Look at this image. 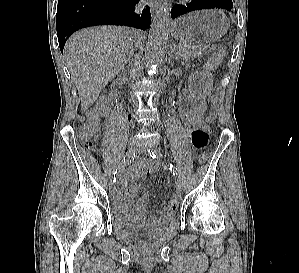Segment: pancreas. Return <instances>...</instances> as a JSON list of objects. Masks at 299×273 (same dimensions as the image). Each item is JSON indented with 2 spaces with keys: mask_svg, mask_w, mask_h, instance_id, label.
<instances>
[{
  "mask_svg": "<svg viewBox=\"0 0 299 273\" xmlns=\"http://www.w3.org/2000/svg\"><path fill=\"white\" fill-rule=\"evenodd\" d=\"M177 56L187 61L192 57V47L189 43H179L175 46Z\"/></svg>",
  "mask_w": 299,
  "mask_h": 273,
  "instance_id": "obj_1",
  "label": "pancreas"
}]
</instances>
